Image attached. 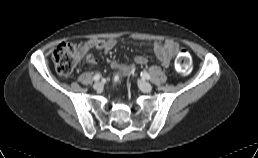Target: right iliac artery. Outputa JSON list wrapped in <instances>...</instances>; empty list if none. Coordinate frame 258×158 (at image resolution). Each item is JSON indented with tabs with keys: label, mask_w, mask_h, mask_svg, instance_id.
Masks as SVG:
<instances>
[{
	"label": "right iliac artery",
	"mask_w": 258,
	"mask_h": 158,
	"mask_svg": "<svg viewBox=\"0 0 258 158\" xmlns=\"http://www.w3.org/2000/svg\"><path fill=\"white\" fill-rule=\"evenodd\" d=\"M100 78H101V75L100 74H96L93 79H94V81H99Z\"/></svg>",
	"instance_id": "obj_1"
}]
</instances>
